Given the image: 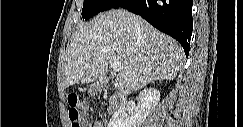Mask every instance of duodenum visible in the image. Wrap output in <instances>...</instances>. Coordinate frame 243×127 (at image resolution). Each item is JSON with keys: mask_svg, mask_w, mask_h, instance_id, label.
Returning <instances> with one entry per match:
<instances>
[{"mask_svg": "<svg viewBox=\"0 0 243 127\" xmlns=\"http://www.w3.org/2000/svg\"><path fill=\"white\" fill-rule=\"evenodd\" d=\"M111 113L116 112L125 102L126 96L120 92H114L109 98Z\"/></svg>", "mask_w": 243, "mask_h": 127, "instance_id": "410a0bca", "label": "duodenum"}]
</instances>
